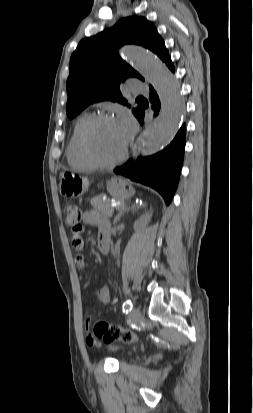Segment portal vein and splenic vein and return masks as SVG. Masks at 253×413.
I'll return each mask as SVG.
<instances>
[{
  "label": "portal vein and splenic vein",
  "mask_w": 253,
  "mask_h": 413,
  "mask_svg": "<svg viewBox=\"0 0 253 413\" xmlns=\"http://www.w3.org/2000/svg\"><path fill=\"white\" fill-rule=\"evenodd\" d=\"M115 208H116V210H120V209L124 208V204H118Z\"/></svg>",
  "instance_id": "obj_1"
}]
</instances>
